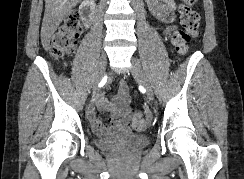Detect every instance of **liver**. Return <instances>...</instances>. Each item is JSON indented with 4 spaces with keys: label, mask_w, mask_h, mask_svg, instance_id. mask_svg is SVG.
I'll return each mask as SVG.
<instances>
[{
    "label": "liver",
    "mask_w": 244,
    "mask_h": 179,
    "mask_svg": "<svg viewBox=\"0 0 244 179\" xmlns=\"http://www.w3.org/2000/svg\"><path fill=\"white\" fill-rule=\"evenodd\" d=\"M81 0H45V14L41 28V42L44 50H49L50 40L60 26L64 16L71 14L72 8Z\"/></svg>",
    "instance_id": "obj_1"
}]
</instances>
